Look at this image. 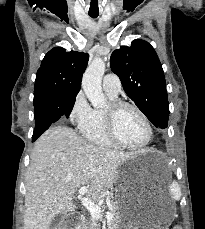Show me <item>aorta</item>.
Returning <instances> with one entry per match:
<instances>
[{
  "label": "aorta",
  "mask_w": 205,
  "mask_h": 229,
  "mask_svg": "<svg viewBox=\"0 0 205 229\" xmlns=\"http://www.w3.org/2000/svg\"><path fill=\"white\" fill-rule=\"evenodd\" d=\"M104 72V61L101 58H95L87 67L82 78L83 91L93 107L102 108L107 104L101 86Z\"/></svg>",
  "instance_id": "762f6f07"
}]
</instances>
